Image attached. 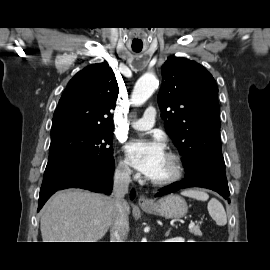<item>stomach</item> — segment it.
<instances>
[{"mask_svg": "<svg viewBox=\"0 0 270 270\" xmlns=\"http://www.w3.org/2000/svg\"><path fill=\"white\" fill-rule=\"evenodd\" d=\"M142 209L150 214L166 218H181L188 212L186 201L179 195H167L153 203L150 207L143 206Z\"/></svg>", "mask_w": 270, "mask_h": 270, "instance_id": "stomach-1", "label": "stomach"}]
</instances>
